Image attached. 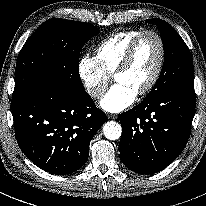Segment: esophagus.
I'll return each mask as SVG.
<instances>
[{
  "label": "esophagus",
  "instance_id": "obj_1",
  "mask_svg": "<svg viewBox=\"0 0 206 206\" xmlns=\"http://www.w3.org/2000/svg\"><path fill=\"white\" fill-rule=\"evenodd\" d=\"M108 118L109 119H117L118 115H116V114H108Z\"/></svg>",
  "mask_w": 206,
  "mask_h": 206
}]
</instances>
